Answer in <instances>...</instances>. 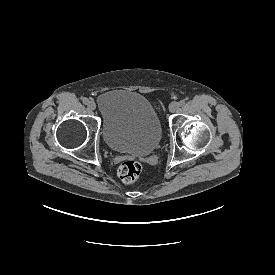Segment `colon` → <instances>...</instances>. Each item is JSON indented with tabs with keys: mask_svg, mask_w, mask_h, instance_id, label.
<instances>
[{
	"mask_svg": "<svg viewBox=\"0 0 275 275\" xmlns=\"http://www.w3.org/2000/svg\"><path fill=\"white\" fill-rule=\"evenodd\" d=\"M155 109L160 110L161 106L157 103L154 104ZM142 166L136 160L124 161L118 169V175L124 183L135 182L141 174Z\"/></svg>",
	"mask_w": 275,
	"mask_h": 275,
	"instance_id": "1",
	"label": "colon"
}]
</instances>
